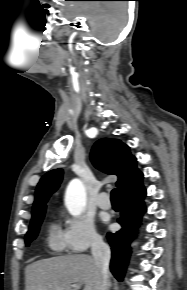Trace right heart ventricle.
<instances>
[{
  "label": "right heart ventricle",
  "mask_w": 187,
  "mask_h": 290,
  "mask_svg": "<svg viewBox=\"0 0 187 290\" xmlns=\"http://www.w3.org/2000/svg\"><path fill=\"white\" fill-rule=\"evenodd\" d=\"M48 245L56 252H61L66 247L64 232L57 224H52L48 233Z\"/></svg>",
  "instance_id": "e07e8e85"
}]
</instances>
